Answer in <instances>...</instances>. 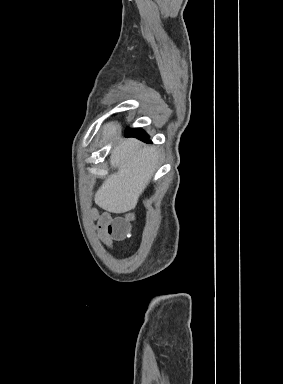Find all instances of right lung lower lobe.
<instances>
[{
	"instance_id": "1",
	"label": "right lung lower lobe",
	"mask_w": 283,
	"mask_h": 384,
	"mask_svg": "<svg viewBox=\"0 0 283 384\" xmlns=\"http://www.w3.org/2000/svg\"><path fill=\"white\" fill-rule=\"evenodd\" d=\"M126 137H137L138 139L143 140L145 142H150L148 140L149 136L145 133L144 130L140 128L127 130Z\"/></svg>"
}]
</instances>
